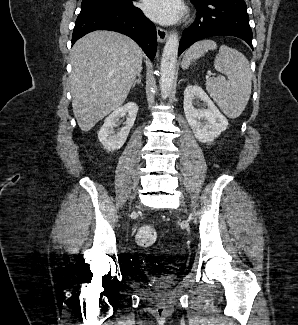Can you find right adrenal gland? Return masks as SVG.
<instances>
[{"instance_id": "obj_1", "label": "right adrenal gland", "mask_w": 298, "mask_h": 325, "mask_svg": "<svg viewBox=\"0 0 298 325\" xmlns=\"http://www.w3.org/2000/svg\"><path fill=\"white\" fill-rule=\"evenodd\" d=\"M141 72H142V68H141L140 72H138L137 78H135L132 86H135L136 82H141Z\"/></svg>"}]
</instances>
